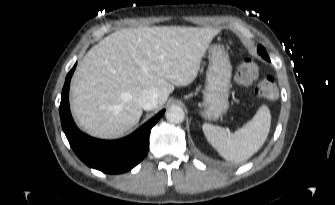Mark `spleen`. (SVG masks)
<instances>
[{
    "mask_svg": "<svg viewBox=\"0 0 335 205\" xmlns=\"http://www.w3.org/2000/svg\"><path fill=\"white\" fill-rule=\"evenodd\" d=\"M271 126V114L262 105L254 117L233 134L224 129L204 123L202 130L208 142L226 160L242 162L253 156L266 141Z\"/></svg>",
    "mask_w": 335,
    "mask_h": 205,
    "instance_id": "spleen-1",
    "label": "spleen"
}]
</instances>
